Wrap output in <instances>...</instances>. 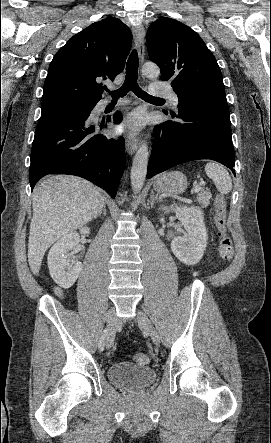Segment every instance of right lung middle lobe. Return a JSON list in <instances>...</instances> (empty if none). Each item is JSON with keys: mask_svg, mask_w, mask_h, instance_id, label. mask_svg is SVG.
<instances>
[{"mask_svg": "<svg viewBox=\"0 0 271 443\" xmlns=\"http://www.w3.org/2000/svg\"><path fill=\"white\" fill-rule=\"evenodd\" d=\"M95 104L92 103H81V102H74V101H56V102H49V103H42V114L61 110V109H81V110H89L91 109Z\"/></svg>", "mask_w": 271, "mask_h": 443, "instance_id": "right-lung-middle-lobe-1", "label": "right lung middle lobe"}]
</instances>
